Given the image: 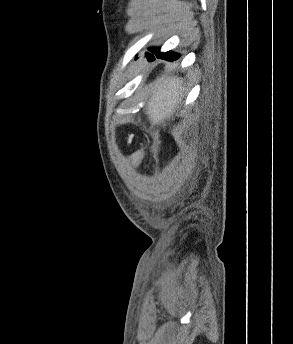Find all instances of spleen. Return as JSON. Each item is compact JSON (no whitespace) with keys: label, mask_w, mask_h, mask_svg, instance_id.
Here are the masks:
<instances>
[{"label":"spleen","mask_w":293,"mask_h":344,"mask_svg":"<svg viewBox=\"0 0 293 344\" xmlns=\"http://www.w3.org/2000/svg\"><path fill=\"white\" fill-rule=\"evenodd\" d=\"M181 90V81L173 77L155 85L147 105V115L153 124H159L174 110Z\"/></svg>","instance_id":"obj_1"}]
</instances>
